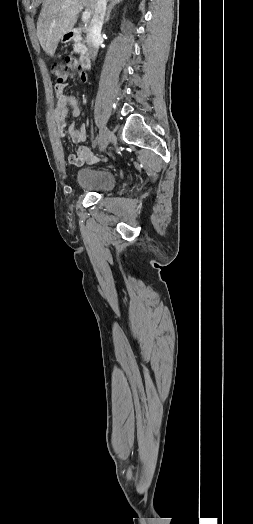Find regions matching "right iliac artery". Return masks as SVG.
<instances>
[{
	"label": "right iliac artery",
	"mask_w": 253,
	"mask_h": 524,
	"mask_svg": "<svg viewBox=\"0 0 253 524\" xmlns=\"http://www.w3.org/2000/svg\"><path fill=\"white\" fill-rule=\"evenodd\" d=\"M99 140H100L99 137L94 139V141L92 143L93 148H95L99 144Z\"/></svg>",
	"instance_id": "right-iliac-artery-1"
}]
</instances>
